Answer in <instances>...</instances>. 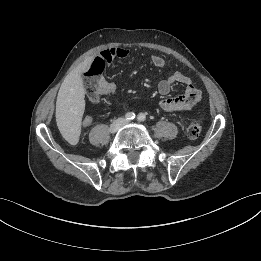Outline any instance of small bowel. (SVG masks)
<instances>
[{
    "instance_id": "c3829d8e",
    "label": "small bowel",
    "mask_w": 261,
    "mask_h": 261,
    "mask_svg": "<svg viewBox=\"0 0 261 261\" xmlns=\"http://www.w3.org/2000/svg\"><path fill=\"white\" fill-rule=\"evenodd\" d=\"M129 50L124 47H112L101 51L96 59H100L104 64H109L115 59H124L128 57ZM152 64L160 69L166 68L165 60L159 55L151 56ZM174 83H181L185 86L184 92L179 95H168ZM103 95L111 94L115 91V85L104 80ZM158 91L164 97L160 100L159 106L167 112H184L193 109L201 99V92L192 84L191 79L181 72H172L158 83ZM92 123L90 116H85L82 120V126L88 127Z\"/></svg>"
}]
</instances>
